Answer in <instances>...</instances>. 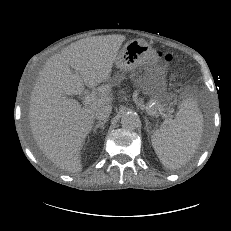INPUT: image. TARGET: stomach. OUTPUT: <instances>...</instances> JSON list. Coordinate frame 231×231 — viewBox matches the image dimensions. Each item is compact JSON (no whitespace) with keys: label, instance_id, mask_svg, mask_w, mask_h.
I'll return each instance as SVG.
<instances>
[{"label":"stomach","instance_id":"1","mask_svg":"<svg viewBox=\"0 0 231 231\" xmlns=\"http://www.w3.org/2000/svg\"><path fill=\"white\" fill-rule=\"evenodd\" d=\"M155 50L144 39H132L116 56L115 65L123 71H133L151 62H157ZM143 92L153 99L161 100L165 91V77L160 69L148 70L140 79Z\"/></svg>","mask_w":231,"mask_h":231}]
</instances>
